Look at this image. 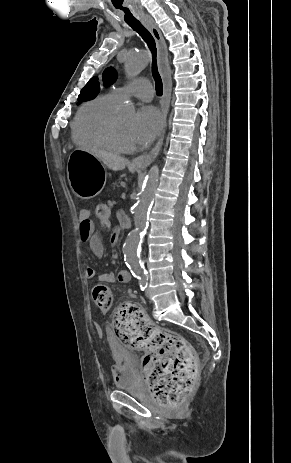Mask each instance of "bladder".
Instances as JSON below:
<instances>
[{"label": "bladder", "mask_w": 291, "mask_h": 463, "mask_svg": "<svg viewBox=\"0 0 291 463\" xmlns=\"http://www.w3.org/2000/svg\"><path fill=\"white\" fill-rule=\"evenodd\" d=\"M115 384L118 389H132L138 385V376L134 366L135 359L128 352H119L115 356Z\"/></svg>", "instance_id": "31cf9c89"}]
</instances>
